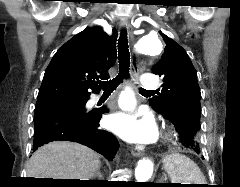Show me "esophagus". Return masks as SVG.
Masks as SVG:
<instances>
[{"label":"esophagus","instance_id":"1","mask_svg":"<svg viewBox=\"0 0 240 187\" xmlns=\"http://www.w3.org/2000/svg\"><path fill=\"white\" fill-rule=\"evenodd\" d=\"M120 23L122 26L126 27L128 32V37L130 41L133 43L134 37H133L131 25L125 19H122ZM131 76L134 82H136L139 78V59L137 54H134L132 57ZM131 153L133 156L140 157L144 154V148L142 146L133 147L131 149Z\"/></svg>","mask_w":240,"mask_h":187}]
</instances>
